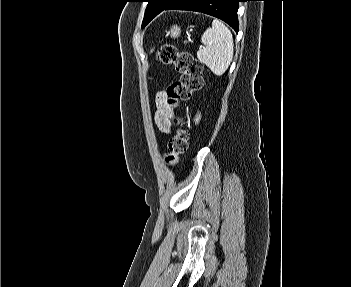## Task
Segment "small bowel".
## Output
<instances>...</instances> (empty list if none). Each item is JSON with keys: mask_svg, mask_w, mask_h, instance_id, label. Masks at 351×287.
Here are the masks:
<instances>
[{"mask_svg": "<svg viewBox=\"0 0 351 287\" xmlns=\"http://www.w3.org/2000/svg\"><path fill=\"white\" fill-rule=\"evenodd\" d=\"M156 104L155 122L161 132L169 133L171 131V116L173 115V111L166 104L164 92L157 93Z\"/></svg>", "mask_w": 351, "mask_h": 287, "instance_id": "small-bowel-1", "label": "small bowel"}]
</instances>
